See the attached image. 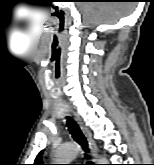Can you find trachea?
<instances>
[{
    "label": "trachea",
    "mask_w": 154,
    "mask_h": 165,
    "mask_svg": "<svg viewBox=\"0 0 154 165\" xmlns=\"http://www.w3.org/2000/svg\"><path fill=\"white\" fill-rule=\"evenodd\" d=\"M67 126H68V130H69L70 134L72 135L73 139L83 147L84 151H87L88 144L86 142L84 135L82 134L81 130L79 129L78 125L76 124V122L73 121L72 118L67 117ZM90 164H92V163H90Z\"/></svg>",
    "instance_id": "1"
}]
</instances>
